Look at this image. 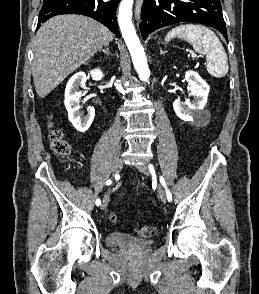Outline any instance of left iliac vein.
<instances>
[{"label":"left iliac vein","mask_w":259,"mask_h":294,"mask_svg":"<svg viewBox=\"0 0 259 294\" xmlns=\"http://www.w3.org/2000/svg\"><path fill=\"white\" fill-rule=\"evenodd\" d=\"M137 169L145 174V175H150V171H149V165L147 163H144V164H140L137 166ZM158 194H159V197H160V200L163 202V203H166V195H165V192L162 188H159L158 189Z\"/></svg>","instance_id":"left-iliac-vein-1"}]
</instances>
